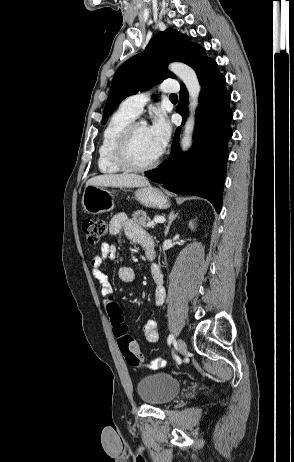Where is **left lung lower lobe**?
<instances>
[{
    "label": "left lung lower lobe",
    "mask_w": 294,
    "mask_h": 462,
    "mask_svg": "<svg viewBox=\"0 0 294 462\" xmlns=\"http://www.w3.org/2000/svg\"><path fill=\"white\" fill-rule=\"evenodd\" d=\"M196 73L201 93L194 132L195 143L183 157L178 144L179 127L169 157L161 167L146 172V176L162 183L174 193L208 199L219 213L228 159L227 141L232 136L230 94L225 87L226 79L217 70L214 60L206 62ZM179 95L176 111L183 117L184 124L188 113V92L183 83Z\"/></svg>",
    "instance_id": "left-lung-lower-lobe-1"
}]
</instances>
